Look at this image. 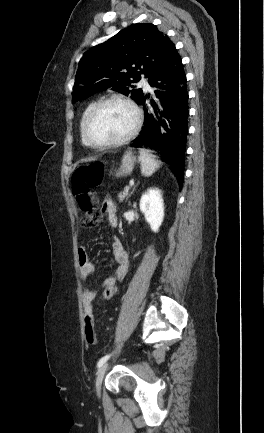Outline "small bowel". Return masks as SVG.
<instances>
[{"mask_svg":"<svg viewBox=\"0 0 264 433\" xmlns=\"http://www.w3.org/2000/svg\"><path fill=\"white\" fill-rule=\"evenodd\" d=\"M102 210L108 215L109 224L112 227H116L118 225V216L114 204L110 200H105L102 205ZM112 254L116 264V269L114 276L108 277L103 281L105 286L123 280L127 275L130 266L129 255L118 237H114ZM78 264L82 279L87 280V278L94 272L95 267L83 247H80L78 252ZM97 295L98 291L96 289H93L88 285L83 287L84 335L86 342L90 345H94L97 341L93 315V303L96 300Z\"/></svg>","mask_w":264,"mask_h":433,"instance_id":"small-bowel-1","label":"small bowel"}]
</instances>
